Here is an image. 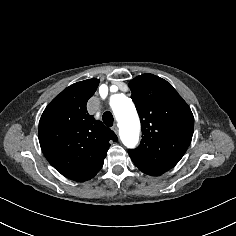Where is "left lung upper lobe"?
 <instances>
[{
    "instance_id": "1",
    "label": "left lung upper lobe",
    "mask_w": 236,
    "mask_h": 236,
    "mask_svg": "<svg viewBox=\"0 0 236 236\" xmlns=\"http://www.w3.org/2000/svg\"><path fill=\"white\" fill-rule=\"evenodd\" d=\"M129 87L143 136L128 153L142 172L164 173L179 162L191 142L193 114L172 85L158 76H137Z\"/></svg>"
}]
</instances>
